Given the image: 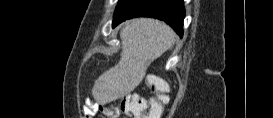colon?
Masks as SVG:
<instances>
[{
	"instance_id": "colon-1",
	"label": "colon",
	"mask_w": 273,
	"mask_h": 118,
	"mask_svg": "<svg viewBox=\"0 0 273 118\" xmlns=\"http://www.w3.org/2000/svg\"><path fill=\"white\" fill-rule=\"evenodd\" d=\"M149 83L157 88L154 96L146 97L139 94H129L121 98L116 110H105V115L109 118L117 117L116 112L126 114L134 118H158L168 103L167 85L158 83L153 77L149 78ZM95 106H98L96 103ZM91 113H86L85 118H91Z\"/></svg>"
}]
</instances>
